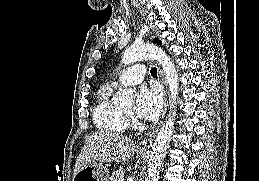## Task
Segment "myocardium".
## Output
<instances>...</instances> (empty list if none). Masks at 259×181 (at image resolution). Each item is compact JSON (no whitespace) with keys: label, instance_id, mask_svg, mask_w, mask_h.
I'll list each match as a JSON object with an SVG mask.
<instances>
[{"label":"myocardium","instance_id":"obj_1","mask_svg":"<svg viewBox=\"0 0 259 181\" xmlns=\"http://www.w3.org/2000/svg\"><path fill=\"white\" fill-rule=\"evenodd\" d=\"M123 114H124L126 120L132 122L133 124H136V121L134 120L132 113L123 112Z\"/></svg>","mask_w":259,"mask_h":181}]
</instances>
